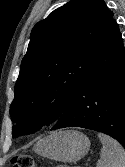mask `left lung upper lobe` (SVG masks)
<instances>
[{"label":"left lung upper lobe","instance_id":"obj_1","mask_svg":"<svg viewBox=\"0 0 125 167\" xmlns=\"http://www.w3.org/2000/svg\"><path fill=\"white\" fill-rule=\"evenodd\" d=\"M103 0H72L32 29L10 106L13 138L57 121L113 23Z\"/></svg>","mask_w":125,"mask_h":167}]
</instances>
